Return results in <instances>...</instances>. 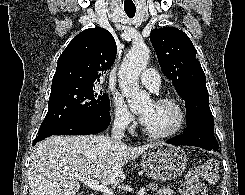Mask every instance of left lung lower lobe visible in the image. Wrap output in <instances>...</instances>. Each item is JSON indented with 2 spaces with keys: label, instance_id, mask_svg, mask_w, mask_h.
I'll return each mask as SVG.
<instances>
[{
  "label": "left lung lower lobe",
  "instance_id": "left-lung-lower-lobe-1",
  "mask_svg": "<svg viewBox=\"0 0 245 195\" xmlns=\"http://www.w3.org/2000/svg\"><path fill=\"white\" fill-rule=\"evenodd\" d=\"M167 143L173 145L197 146L220 153L218 142L214 136V130L201 125L189 126L184 134L167 140Z\"/></svg>",
  "mask_w": 245,
  "mask_h": 195
}]
</instances>
